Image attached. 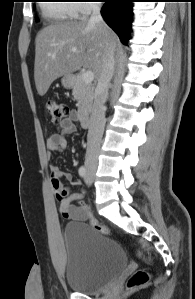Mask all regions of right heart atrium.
<instances>
[{"label":"right heart atrium","mask_w":195,"mask_h":299,"mask_svg":"<svg viewBox=\"0 0 195 299\" xmlns=\"http://www.w3.org/2000/svg\"><path fill=\"white\" fill-rule=\"evenodd\" d=\"M90 2H93L92 0H77L76 3H74V14L78 16H86L89 15L93 8L89 4Z\"/></svg>","instance_id":"right-heart-atrium-1"}]
</instances>
